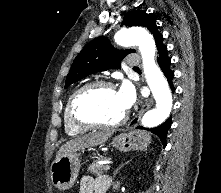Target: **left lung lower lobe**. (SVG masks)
<instances>
[{
	"mask_svg": "<svg viewBox=\"0 0 221 193\" xmlns=\"http://www.w3.org/2000/svg\"><path fill=\"white\" fill-rule=\"evenodd\" d=\"M157 62L161 68V70L163 71L165 77L167 78V81L172 89V91H175V88L173 87V78H174V72L171 70L170 68V64H171V59L168 57L167 55V47L163 44V42H161L158 46H157ZM171 126V119H168L167 121H165L163 124L152 128V129H148V128H144L141 126H138L137 128L139 129H146L151 131L152 133L156 134L163 146H166V134L168 129Z\"/></svg>",
	"mask_w": 221,
	"mask_h": 193,
	"instance_id": "obj_1",
	"label": "left lung lower lobe"
}]
</instances>
